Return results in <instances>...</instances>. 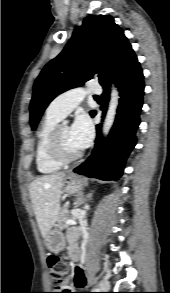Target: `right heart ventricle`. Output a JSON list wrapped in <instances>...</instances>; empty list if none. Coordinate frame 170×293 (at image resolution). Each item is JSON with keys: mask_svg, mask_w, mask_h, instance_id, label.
<instances>
[{"mask_svg": "<svg viewBox=\"0 0 170 293\" xmlns=\"http://www.w3.org/2000/svg\"><path fill=\"white\" fill-rule=\"evenodd\" d=\"M60 120L59 117L46 112L37 132L35 163L37 170L44 174L56 172L63 165L54 161L48 153L50 133Z\"/></svg>", "mask_w": 170, "mask_h": 293, "instance_id": "right-heart-ventricle-1", "label": "right heart ventricle"}]
</instances>
